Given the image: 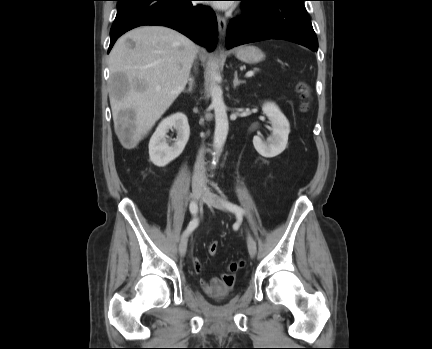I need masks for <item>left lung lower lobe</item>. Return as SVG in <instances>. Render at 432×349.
Masks as SVG:
<instances>
[{
  "label": "left lung lower lobe",
  "mask_w": 432,
  "mask_h": 349,
  "mask_svg": "<svg viewBox=\"0 0 432 349\" xmlns=\"http://www.w3.org/2000/svg\"><path fill=\"white\" fill-rule=\"evenodd\" d=\"M245 16L228 26L227 48L267 39H282L318 50L305 0H240Z\"/></svg>",
  "instance_id": "obj_1"
}]
</instances>
